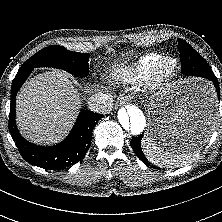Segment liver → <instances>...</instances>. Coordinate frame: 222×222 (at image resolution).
Here are the masks:
<instances>
[{
	"instance_id": "liver-1",
	"label": "liver",
	"mask_w": 222,
	"mask_h": 222,
	"mask_svg": "<svg viewBox=\"0 0 222 222\" xmlns=\"http://www.w3.org/2000/svg\"><path fill=\"white\" fill-rule=\"evenodd\" d=\"M113 80H124L126 67L115 65ZM78 90L65 72L47 71L26 82L16 97L20 133L36 144L56 143L71 129L80 105Z\"/></svg>"
}]
</instances>
